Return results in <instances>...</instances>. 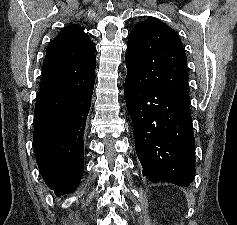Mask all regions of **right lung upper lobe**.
<instances>
[{
    "mask_svg": "<svg viewBox=\"0 0 237 225\" xmlns=\"http://www.w3.org/2000/svg\"><path fill=\"white\" fill-rule=\"evenodd\" d=\"M95 49L80 25L64 28L47 49L38 94L76 90L95 80Z\"/></svg>",
    "mask_w": 237,
    "mask_h": 225,
    "instance_id": "obj_1",
    "label": "right lung upper lobe"
}]
</instances>
